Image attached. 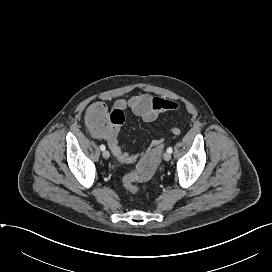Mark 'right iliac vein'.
I'll return each instance as SVG.
<instances>
[{
  "label": "right iliac vein",
  "instance_id": "1",
  "mask_svg": "<svg viewBox=\"0 0 272 272\" xmlns=\"http://www.w3.org/2000/svg\"><path fill=\"white\" fill-rule=\"evenodd\" d=\"M103 158L108 159L110 157V153L107 150H104L102 153Z\"/></svg>",
  "mask_w": 272,
  "mask_h": 272
}]
</instances>
